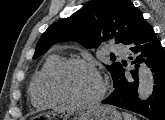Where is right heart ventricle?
<instances>
[{
	"label": "right heart ventricle",
	"mask_w": 165,
	"mask_h": 120,
	"mask_svg": "<svg viewBox=\"0 0 165 120\" xmlns=\"http://www.w3.org/2000/svg\"><path fill=\"white\" fill-rule=\"evenodd\" d=\"M61 60L58 54L49 55L40 70L33 77L30 84V98L34 106L47 108L56 105L59 101L55 99L47 89V77L52 68Z\"/></svg>",
	"instance_id": "e07e8e85"
}]
</instances>
